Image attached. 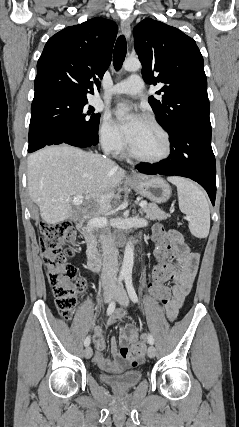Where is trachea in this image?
<instances>
[{"label": "trachea", "mask_w": 239, "mask_h": 427, "mask_svg": "<svg viewBox=\"0 0 239 427\" xmlns=\"http://www.w3.org/2000/svg\"><path fill=\"white\" fill-rule=\"evenodd\" d=\"M127 53V43L125 36L121 35L118 37L114 52H113V65L116 70H119L122 67L123 61Z\"/></svg>", "instance_id": "3493384b"}]
</instances>
